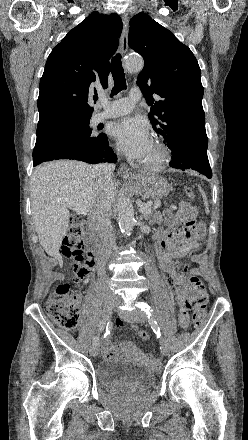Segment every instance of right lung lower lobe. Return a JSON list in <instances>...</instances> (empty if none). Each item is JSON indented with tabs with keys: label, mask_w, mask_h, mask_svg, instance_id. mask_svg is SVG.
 I'll use <instances>...</instances> for the list:
<instances>
[{
	"label": "right lung lower lobe",
	"mask_w": 248,
	"mask_h": 440,
	"mask_svg": "<svg viewBox=\"0 0 248 440\" xmlns=\"http://www.w3.org/2000/svg\"><path fill=\"white\" fill-rule=\"evenodd\" d=\"M88 120L90 118L68 120L37 135L33 150V166L58 159H75L90 164L115 162L116 155L108 146L105 134L93 139L79 132V126Z\"/></svg>",
	"instance_id": "obj_1"
}]
</instances>
